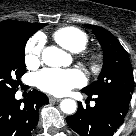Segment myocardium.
<instances>
[{"label": "myocardium", "instance_id": "1", "mask_svg": "<svg viewBox=\"0 0 136 136\" xmlns=\"http://www.w3.org/2000/svg\"><path fill=\"white\" fill-rule=\"evenodd\" d=\"M85 60L91 68L95 67L98 63V57L94 54L86 55Z\"/></svg>", "mask_w": 136, "mask_h": 136}]
</instances>
